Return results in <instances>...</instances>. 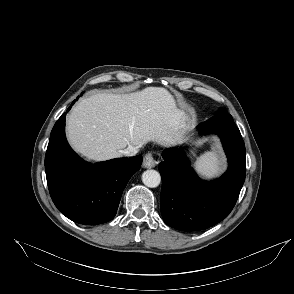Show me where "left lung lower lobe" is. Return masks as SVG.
<instances>
[{
  "instance_id": "obj_1",
  "label": "left lung lower lobe",
  "mask_w": 294,
  "mask_h": 294,
  "mask_svg": "<svg viewBox=\"0 0 294 294\" xmlns=\"http://www.w3.org/2000/svg\"><path fill=\"white\" fill-rule=\"evenodd\" d=\"M198 129L202 134L220 136L229 168L219 179L205 182L197 177L182 151H163L164 161L159 164L161 214L167 225L181 231L207 229L225 219L245 181V145L232 116L221 113Z\"/></svg>"
}]
</instances>
